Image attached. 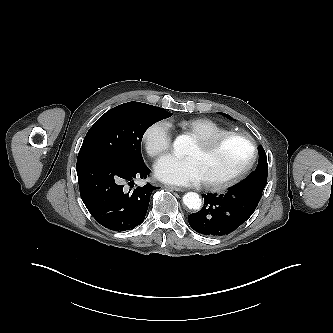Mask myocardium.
<instances>
[{
    "instance_id": "myocardium-1",
    "label": "myocardium",
    "mask_w": 333,
    "mask_h": 333,
    "mask_svg": "<svg viewBox=\"0 0 333 333\" xmlns=\"http://www.w3.org/2000/svg\"><path fill=\"white\" fill-rule=\"evenodd\" d=\"M230 139H239L246 144L248 148L247 161L236 173L223 180L203 181L204 186L210 190L222 191L235 185L250 172V170L255 164L257 158V148L252 138L245 133L229 131L224 134L211 138L196 139V143L203 151H211L216 149L217 147H219L220 145H222L223 143H225Z\"/></svg>"
}]
</instances>
